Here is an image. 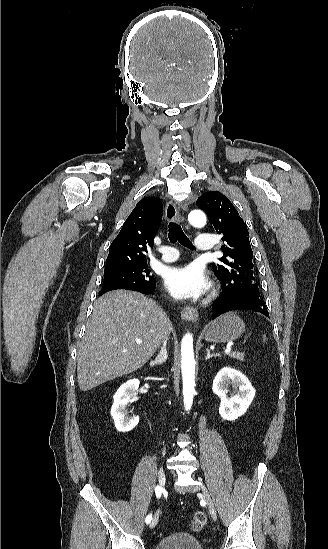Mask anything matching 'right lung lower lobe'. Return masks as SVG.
Wrapping results in <instances>:
<instances>
[{
  "instance_id": "right-lung-lower-lobe-1",
  "label": "right lung lower lobe",
  "mask_w": 328,
  "mask_h": 549,
  "mask_svg": "<svg viewBox=\"0 0 328 549\" xmlns=\"http://www.w3.org/2000/svg\"><path fill=\"white\" fill-rule=\"evenodd\" d=\"M155 288H156V284H155V286L151 287V288L148 289V290H139L138 292H141V293H143V294H150V293H152V292L155 290Z\"/></svg>"
}]
</instances>
